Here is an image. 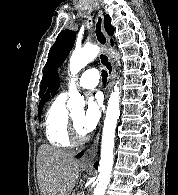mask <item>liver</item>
Masks as SVG:
<instances>
[{"label":"liver","mask_w":178,"mask_h":195,"mask_svg":"<svg viewBox=\"0 0 178 195\" xmlns=\"http://www.w3.org/2000/svg\"><path fill=\"white\" fill-rule=\"evenodd\" d=\"M79 161L47 144L38 150L37 176L41 195H70L79 178Z\"/></svg>","instance_id":"liver-1"}]
</instances>
